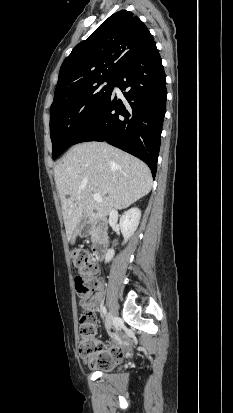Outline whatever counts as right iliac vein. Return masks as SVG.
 <instances>
[{"label":"right iliac vein","instance_id":"1","mask_svg":"<svg viewBox=\"0 0 233 413\" xmlns=\"http://www.w3.org/2000/svg\"><path fill=\"white\" fill-rule=\"evenodd\" d=\"M113 321H114V316L111 313H109L106 317V320H105V327H106L107 330L111 329V327L113 325Z\"/></svg>","mask_w":233,"mask_h":413}]
</instances>
